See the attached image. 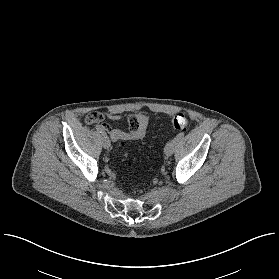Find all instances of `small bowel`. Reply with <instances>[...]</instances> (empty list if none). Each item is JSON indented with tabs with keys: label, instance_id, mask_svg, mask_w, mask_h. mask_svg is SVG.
Here are the masks:
<instances>
[{
	"label": "small bowel",
	"instance_id": "c3829d8e",
	"mask_svg": "<svg viewBox=\"0 0 279 279\" xmlns=\"http://www.w3.org/2000/svg\"><path fill=\"white\" fill-rule=\"evenodd\" d=\"M108 118L110 120H119L121 115L117 113H90L86 117V122L88 124L99 123L102 130L109 135L113 141H130V140H139L142 139L147 130L148 118L143 114H136L127 117V122L129 125L128 130L115 129L109 126L106 123H103V120Z\"/></svg>",
	"mask_w": 279,
	"mask_h": 279
}]
</instances>
